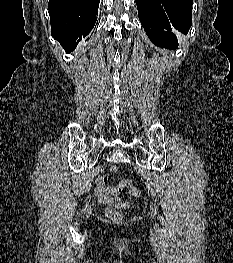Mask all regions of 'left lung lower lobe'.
Here are the masks:
<instances>
[{
  "mask_svg": "<svg viewBox=\"0 0 233 263\" xmlns=\"http://www.w3.org/2000/svg\"><path fill=\"white\" fill-rule=\"evenodd\" d=\"M146 34L157 46L176 48L175 31L187 34L192 25V0H135Z\"/></svg>",
  "mask_w": 233,
  "mask_h": 263,
  "instance_id": "left-lung-lower-lobe-1",
  "label": "left lung lower lobe"
}]
</instances>
